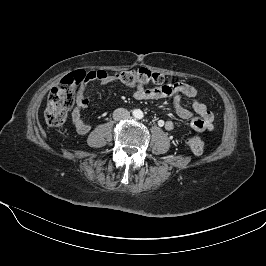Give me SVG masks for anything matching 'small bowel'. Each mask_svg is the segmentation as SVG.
Listing matches in <instances>:
<instances>
[{
	"mask_svg": "<svg viewBox=\"0 0 266 266\" xmlns=\"http://www.w3.org/2000/svg\"><path fill=\"white\" fill-rule=\"evenodd\" d=\"M89 80L99 81L102 87H106L116 80V77L109 75L104 70H96L88 73ZM166 97L173 98L175 113L182 119L189 120L192 128L197 132L211 131L214 128V115L209 110L206 102L199 97L195 87L190 84L178 82L173 84H160L157 87L148 89L138 84L134 92L137 100H156ZM182 98L191 100L192 111L184 108L181 104ZM89 106V99L86 95V84L80 86L76 95V105L72 111V122L76 131L86 134L91 126L84 120L82 111ZM166 130H173L175 123L168 120L164 124Z\"/></svg>",
	"mask_w": 266,
	"mask_h": 266,
	"instance_id": "1",
	"label": "small bowel"
}]
</instances>
